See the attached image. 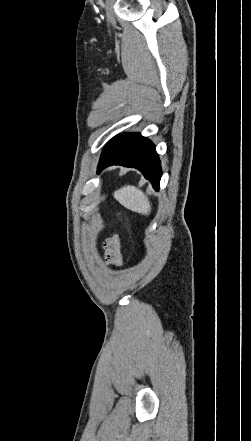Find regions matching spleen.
Segmentation results:
<instances>
[{
    "mask_svg": "<svg viewBox=\"0 0 251 441\" xmlns=\"http://www.w3.org/2000/svg\"><path fill=\"white\" fill-rule=\"evenodd\" d=\"M114 198L125 208L148 215L151 211V205L144 193L135 186L126 185L113 194Z\"/></svg>",
    "mask_w": 251,
    "mask_h": 441,
    "instance_id": "obj_1",
    "label": "spleen"
}]
</instances>
